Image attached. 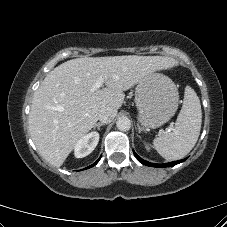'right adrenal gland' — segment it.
Listing matches in <instances>:
<instances>
[{
	"label": "right adrenal gland",
	"instance_id": "obj_1",
	"mask_svg": "<svg viewBox=\"0 0 227 227\" xmlns=\"http://www.w3.org/2000/svg\"><path fill=\"white\" fill-rule=\"evenodd\" d=\"M103 125H104V123L99 122V123L94 125V128H97L98 130H100V127L103 126Z\"/></svg>",
	"mask_w": 227,
	"mask_h": 227
}]
</instances>
